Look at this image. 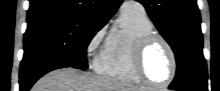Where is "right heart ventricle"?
<instances>
[{
    "label": "right heart ventricle",
    "instance_id": "e07e8e85",
    "mask_svg": "<svg viewBox=\"0 0 220 91\" xmlns=\"http://www.w3.org/2000/svg\"><path fill=\"white\" fill-rule=\"evenodd\" d=\"M154 33V26L145 13L122 12L119 26L109 34L104 49L96 61L99 74L128 84H141L133 66L137 41Z\"/></svg>",
    "mask_w": 220,
    "mask_h": 91
}]
</instances>
